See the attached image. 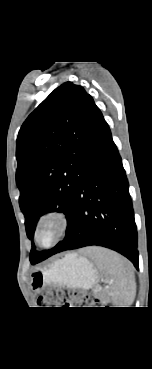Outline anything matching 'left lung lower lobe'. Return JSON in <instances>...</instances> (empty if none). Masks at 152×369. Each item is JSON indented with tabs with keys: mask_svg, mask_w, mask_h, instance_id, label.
Instances as JSON below:
<instances>
[{
	"mask_svg": "<svg viewBox=\"0 0 152 369\" xmlns=\"http://www.w3.org/2000/svg\"><path fill=\"white\" fill-rule=\"evenodd\" d=\"M82 163L83 177L75 198L76 217L56 253L98 245L121 253L139 269L129 184L102 113L96 120Z\"/></svg>",
	"mask_w": 152,
	"mask_h": 369,
	"instance_id": "obj_1",
	"label": "left lung lower lobe"
}]
</instances>
